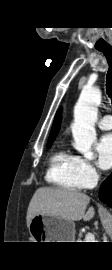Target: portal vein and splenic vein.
<instances>
[{"label": "portal vein and splenic vein", "instance_id": "18ae733b", "mask_svg": "<svg viewBox=\"0 0 112 270\" xmlns=\"http://www.w3.org/2000/svg\"><path fill=\"white\" fill-rule=\"evenodd\" d=\"M85 242H95V236L92 233H87L85 236Z\"/></svg>", "mask_w": 112, "mask_h": 270}]
</instances>
